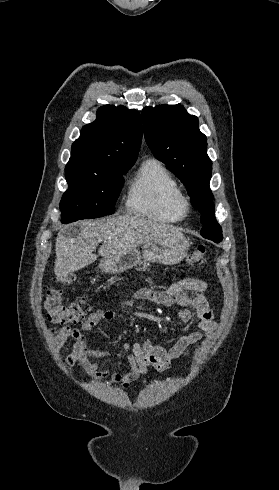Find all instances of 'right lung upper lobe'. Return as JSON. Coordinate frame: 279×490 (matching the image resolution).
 Here are the masks:
<instances>
[{
    "label": "right lung upper lobe",
    "instance_id": "obj_1",
    "mask_svg": "<svg viewBox=\"0 0 279 490\" xmlns=\"http://www.w3.org/2000/svg\"><path fill=\"white\" fill-rule=\"evenodd\" d=\"M142 141L141 116L124 106L98 109L96 120L83 126L72 144L65 172L105 173L133 165Z\"/></svg>",
    "mask_w": 279,
    "mask_h": 490
}]
</instances>
